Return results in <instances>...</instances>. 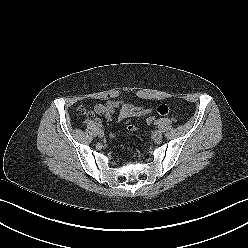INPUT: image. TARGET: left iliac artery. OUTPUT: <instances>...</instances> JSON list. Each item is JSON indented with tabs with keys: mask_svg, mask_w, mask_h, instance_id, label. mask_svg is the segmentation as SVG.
<instances>
[{
	"mask_svg": "<svg viewBox=\"0 0 248 248\" xmlns=\"http://www.w3.org/2000/svg\"><path fill=\"white\" fill-rule=\"evenodd\" d=\"M154 124H155V125H157V124H158V122L155 120V121H154Z\"/></svg>",
	"mask_w": 248,
	"mask_h": 248,
	"instance_id": "left-iliac-artery-1",
	"label": "left iliac artery"
}]
</instances>
